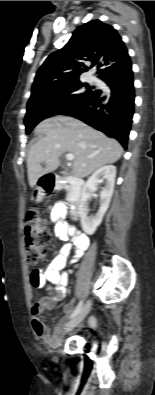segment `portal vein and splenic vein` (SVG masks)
I'll return each instance as SVG.
<instances>
[{
    "instance_id": "18ae733b",
    "label": "portal vein and splenic vein",
    "mask_w": 155,
    "mask_h": 395,
    "mask_svg": "<svg viewBox=\"0 0 155 395\" xmlns=\"http://www.w3.org/2000/svg\"><path fill=\"white\" fill-rule=\"evenodd\" d=\"M74 158H75L74 155L71 154V153H69V154L66 155V159H67L68 161H71V160H73Z\"/></svg>"
}]
</instances>
